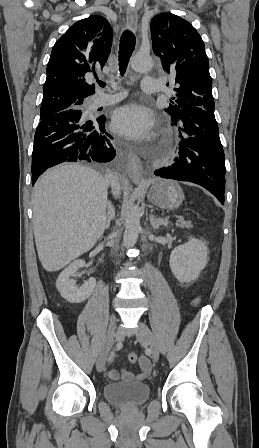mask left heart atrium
Returning a JSON list of instances; mask_svg holds the SVG:
<instances>
[{"instance_id":"1","label":"left heart atrium","mask_w":259,"mask_h":448,"mask_svg":"<svg viewBox=\"0 0 259 448\" xmlns=\"http://www.w3.org/2000/svg\"><path fill=\"white\" fill-rule=\"evenodd\" d=\"M155 118L151 110L141 103H130L116 110L113 115V129L135 140L147 138L154 128Z\"/></svg>"}]
</instances>
